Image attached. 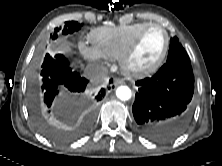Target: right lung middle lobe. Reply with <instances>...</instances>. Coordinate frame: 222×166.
<instances>
[{"mask_svg":"<svg viewBox=\"0 0 222 166\" xmlns=\"http://www.w3.org/2000/svg\"><path fill=\"white\" fill-rule=\"evenodd\" d=\"M81 25L78 24L76 21H68L65 23L64 29L62 31V34H68L73 33L75 31H78L80 29ZM61 28H55V31L53 34L50 35V38L52 40H55L58 35ZM46 109L42 106H36L33 107V120L35 122V125L37 128L46 136L55 139V140H62L63 135L58 130H56L52 125L49 124L47 121V113Z\"/></svg>","mask_w":222,"mask_h":166,"instance_id":"dd1d6c3e","label":"right lung middle lobe"}]
</instances>
